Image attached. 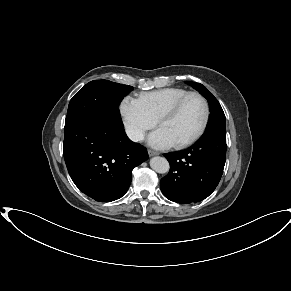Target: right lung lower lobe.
Here are the masks:
<instances>
[{
    "instance_id": "right-lung-lower-lobe-1",
    "label": "right lung lower lobe",
    "mask_w": 291,
    "mask_h": 291,
    "mask_svg": "<svg viewBox=\"0 0 291 291\" xmlns=\"http://www.w3.org/2000/svg\"><path fill=\"white\" fill-rule=\"evenodd\" d=\"M63 154L75 185L99 202L121 198L132 169L149 158L146 148L125 134L120 114L90 124L65 121Z\"/></svg>"
}]
</instances>
